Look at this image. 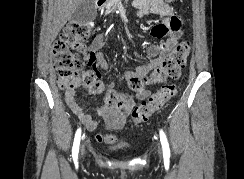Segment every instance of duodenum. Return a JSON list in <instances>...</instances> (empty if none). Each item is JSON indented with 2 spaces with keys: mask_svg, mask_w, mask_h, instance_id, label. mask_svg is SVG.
<instances>
[{
  "mask_svg": "<svg viewBox=\"0 0 244 179\" xmlns=\"http://www.w3.org/2000/svg\"><path fill=\"white\" fill-rule=\"evenodd\" d=\"M106 1L107 0H98L97 3H96L97 4V9L98 10H101L102 9V6L105 5Z\"/></svg>",
  "mask_w": 244,
  "mask_h": 179,
  "instance_id": "1",
  "label": "duodenum"
}]
</instances>
